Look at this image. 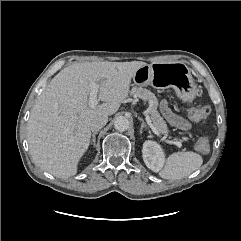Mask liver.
I'll list each match as a JSON object with an SVG mask.
<instances>
[{
    "label": "liver",
    "mask_w": 241,
    "mask_h": 241,
    "mask_svg": "<svg viewBox=\"0 0 241 241\" xmlns=\"http://www.w3.org/2000/svg\"><path fill=\"white\" fill-rule=\"evenodd\" d=\"M147 65L131 62H83L61 70L37 99L28 121L27 138L34 163L58 178L77 173L87 151L91 121L111 116L128 97L131 79ZM98 85L102 104L91 108L90 85Z\"/></svg>",
    "instance_id": "6515ba94"
}]
</instances>
